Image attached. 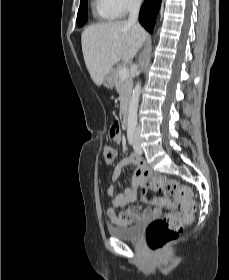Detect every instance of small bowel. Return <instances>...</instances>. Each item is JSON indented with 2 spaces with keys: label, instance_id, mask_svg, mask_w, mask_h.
<instances>
[{
  "label": "small bowel",
  "instance_id": "small-bowel-1",
  "mask_svg": "<svg viewBox=\"0 0 229 280\" xmlns=\"http://www.w3.org/2000/svg\"><path fill=\"white\" fill-rule=\"evenodd\" d=\"M121 139V132H116L111 135V141L113 144H119ZM126 167L133 168L130 177L132 181L131 186L115 196H113L112 186L106 188V193L111 197L112 204L111 207L107 209L106 213L112 224L120 227L129 226L139 220L160 214L164 208L170 209L173 207V203L166 196H154L143 198V201L153 206V208H145L141 210L138 205L132 204L126 212L118 213L117 209L126 207L136 198L140 187H147L146 177L151 175L147 171L141 158L136 155H130L122 159L116 166L113 178L117 180L120 177L122 170ZM154 190L159 191V189Z\"/></svg>",
  "mask_w": 229,
  "mask_h": 280
}]
</instances>
